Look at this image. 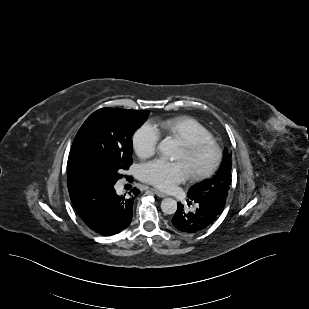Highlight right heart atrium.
Listing matches in <instances>:
<instances>
[{
	"label": "right heart atrium",
	"mask_w": 309,
	"mask_h": 309,
	"mask_svg": "<svg viewBox=\"0 0 309 309\" xmlns=\"http://www.w3.org/2000/svg\"><path fill=\"white\" fill-rule=\"evenodd\" d=\"M159 140L158 128L150 122H145L134 132L132 145L139 157L146 158L155 153Z\"/></svg>",
	"instance_id": "obj_1"
}]
</instances>
